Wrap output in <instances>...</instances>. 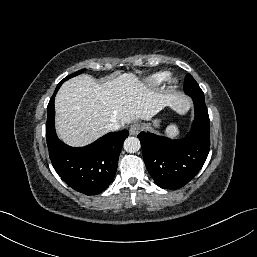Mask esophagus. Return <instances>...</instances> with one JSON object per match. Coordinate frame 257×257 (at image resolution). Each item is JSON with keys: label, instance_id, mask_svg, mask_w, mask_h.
Segmentation results:
<instances>
[{"label": "esophagus", "instance_id": "esophagus-1", "mask_svg": "<svg viewBox=\"0 0 257 257\" xmlns=\"http://www.w3.org/2000/svg\"><path fill=\"white\" fill-rule=\"evenodd\" d=\"M140 125L138 123H134L130 126L129 132L131 135H137L140 132Z\"/></svg>", "mask_w": 257, "mask_h": 257}]
</instances>
